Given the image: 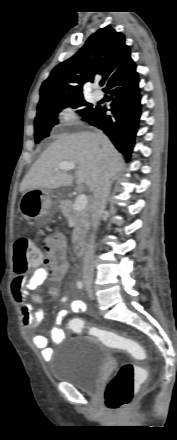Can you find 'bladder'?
I'll list each match as a JSON object with an SVG mask.
<instances>
[{"label":"bladder","instance_id":"31cf9c89","mask_svg":"<svg viewBox=\"0 0 177 440\" xmlns=\"http://www.w3.org/2000/svg\"><path fill=\"white\" fill-rule=\"evenodd\" d=\"M76 341L75 347L70 342ZM108 361L107 349L93 337H77L66 341L53 359L50 373L58 382L95 394Z\"/></svg>","mask_w":177,"mask_h":440}]
</instances>
